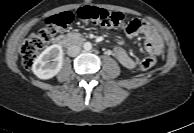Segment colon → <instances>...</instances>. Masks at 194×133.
I'll return each instance as SVG.
<instances>
[{
    "label": "colon",
    "mask_w": 194,
    "mask_h": 133,
    "mask_svg": "<svg viewBox=\"0 0 194 133\" xmlns=\"http://www.w3.org/2000/svg\"><path fill=\"white\" fill-rule=\"evenodd\" d=\"M76 16L84 21L109 28H126L127 20L121 12L109 11L95 6H83L76 12ZM73 20L71 12H63L48 17L44 25L31 34L21 46L23 65L30 68L45 46L53 39L55 34L65 28ZM155 65V59L149 56L138 65L139 71H146Z\"/></svg>",
    "instance_id": "5ec220e1"
}]
</instances>
